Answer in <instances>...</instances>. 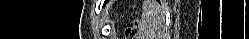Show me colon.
Wrapping results in <instances>:
<instances>
[{
	"mask_svg": "<svg viewBox=\"0 0 249 39\" xmlns=\"http://www.w3.org/2000/svg\"><path fill=\"white\" fill-rule=\"evenodd\" d=\"M125 34L127 38H137V27L135 25L127 27Z\"/></svg>",
	"mask_w": 249,
	"mask_h": 39,
	"instance_id": "5ec220e1",
	"label": "colon"
}]
</instances>
